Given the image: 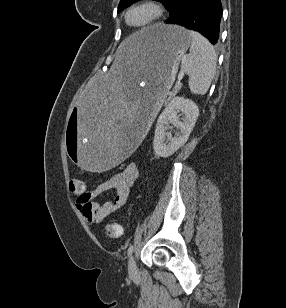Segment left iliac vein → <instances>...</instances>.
<instances>
[{"mask_svg": "<svg viewBox=\"0 0 286 308\" xmlns=\"http://www.w3.org/2000/svg\"><path fill=\"white\" fill-rule=\"evenodd\" d=\"M128 270H129V274L130 276H136L138 273V268H137V264H136V260L133 256H131L129 263H128Z\"/></svg>", "mask_w": 286, "mask_h": 308, "instance_id": "1", "label": "left iliac vein"}]
</instances>
